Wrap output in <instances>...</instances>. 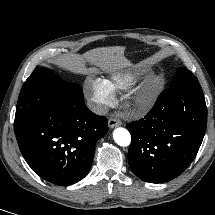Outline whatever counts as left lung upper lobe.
<instances>
[{"mask_svg":"<svg viewBox=\"0 0 215 215\" xmlns=\"http://www.w3.org/2000/svg\"><path fill=\"white\" fill-rule=\"evenodd\" d=\"M170 88L203 94L198 79L184 67L176 70V75L173 78Z\"/></svg>","mask_w":215,"mask_h":215,"instance_id":"obj_1","label":"left lung upper lobe"}]
</instances>
